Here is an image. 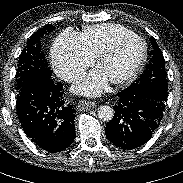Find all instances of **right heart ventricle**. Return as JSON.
Instances as JSON below:
<instances>
[{
    "label": "right heart ventricle",
    "mask_w": 183,
    "mask_h": 183,
    "mask_svg": "<svg viewBox=\"0 0 183 183\" xmlns=\"http://www.w3.org/2000/svg\"><path fill=\"white\" fill-rule=\"evenodd\" d=\"M135 35L131 30L118 24H100L87 27L80 38L86 52L94 59L116 40Z\"/></svg>",
    "instance_id": "1"
}]
</instances>
